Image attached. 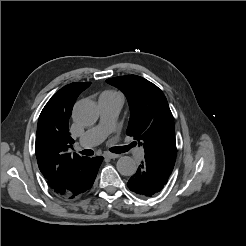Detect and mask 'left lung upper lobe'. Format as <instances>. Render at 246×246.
Wrapping results in <instances>:
<instances>
[{"label":"left lung upper lobe","instance_id":"5c2ea615","mask_svg":"<svg viewBox=\"0 0 246 246\" xmlns=\"http://www.w3.org/2000/svg\"><path fill=\"white\" fill-rule=\"evenodd\" d=\"M106 82L127 97L131 111L127 134L143 145L145 157L173 170L176 160L174 119L161 89L136 75L115 77Z\"/></svg>","mask_w":246,"mask_h":246}]
</instances>
